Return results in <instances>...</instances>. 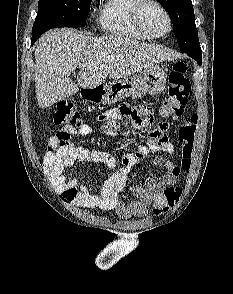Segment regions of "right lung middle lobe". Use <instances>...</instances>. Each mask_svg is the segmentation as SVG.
Wrapping results in <instances>:
<instances>
[{
    "label": "right lung middle lobe",
    "mask_w": 233,
    "mask_h": 294,
    "mask_svg": "<svg viewBox=\"0 0 233 294\" xmlns=\"http://www.w3.org/2000/svg\"><path fill=\"white\" fill-rule=\"evenodd\" d=\"M92 0H39L32 39L55 27L85 26Z\"/></svg>",
    "instance_id": "1"
}]
</instances>
